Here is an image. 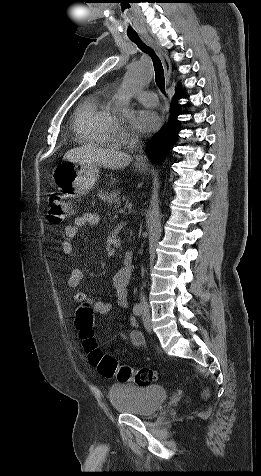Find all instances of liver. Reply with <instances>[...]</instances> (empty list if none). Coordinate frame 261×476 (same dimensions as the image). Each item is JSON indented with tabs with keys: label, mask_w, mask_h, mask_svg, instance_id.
I'll use <instances>...</instances> for the list:
<instances>
[{
	"label": "liver",
	"mask_w": 261,
	"mask_h": 476,
	"mask_svg": "<svg viewBox=\"0 0 261 476\" xmlns=\"http://www.w3.org/2000/svg\"><path fill=\"white\" fill-rule=\"evenodd\" d=\"M63 160L81 164H95L112 170L125 168L133 161L132 157L127 153L93 145L71 149L64 155ZM134 166L136 170H140V167H142L141 172L144 171V164L139 160L134 163Z\"/></svg>",
	"instance_id": "obj_1"
}]
</instances>
